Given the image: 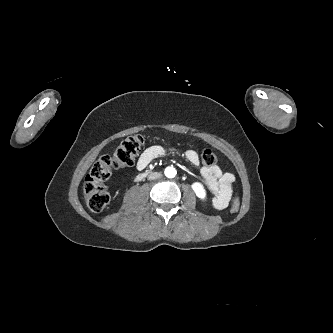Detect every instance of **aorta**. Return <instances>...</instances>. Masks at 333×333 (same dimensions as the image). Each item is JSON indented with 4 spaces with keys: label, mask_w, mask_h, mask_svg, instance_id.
<instances>
[{
    "label": "aorta",
    "mask_w": 333,
    "mask_h": 333,
    "mask_svg": "<svg viewBox=\"0 0 333 333\" xmlns=\"http://www.w3.org/2000/svg\"><path fill=\"white\" fill-rule=\"evenodd\" d=\"M165 176L166 177H168V178H174L175 176H176V170H175V168H173V167H167L166 169H165Z\"/></svg>",
    "instance_id": "aorta-1"
}]
</instances>
